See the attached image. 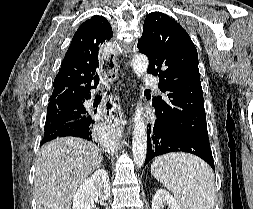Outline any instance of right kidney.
<instances>
[{
    "instance_id": "right-kidney-1",
    "label": "right kidney",
    "mask_w": 253,
    "mask_h": 209,
    "mask_svg": "<svg viewBox=\"0 0 253 209\" xmlns=\"http://www.w3.org/2000/svg\"><path fill=\"white\" fill-rule=\"evenodd\" d=\"M110 196L108 173L99 169L86 179L77 189L73 197L72 209H93L96 198L107 200Z\"/></svg>"
}]
</instances>
